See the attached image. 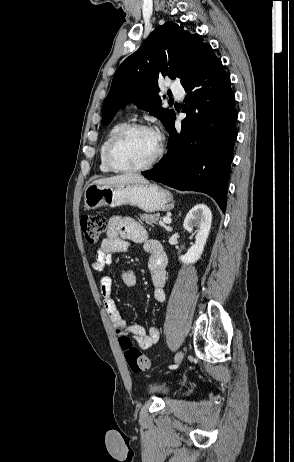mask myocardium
I'll return each mask as SVG.
<instances>
[{"mask_svg":"<svg viewBox=\"0 0 294 462\" xmlns=\"http://www.w3.org/2000/svg\"><path fill=\"white\" fill-rule=\"evenodd\" d=\"M134 130H146L155 133V130L144 123H139V122H131V123H126L122 127H120L114 135L110 138L108 141L106 148H105V153H104V159L107 167L114 171V172H120V173H139V172H144L146 170L151 169L162 157L163 152H164V147L162 143L159 141L158 143V149L155 155L144 165L138 166V167H123L118 165L113 157L114 150L116 145L119 143V141L129 132L134 131Z\"/></svg>","mask_w":294,"mask_h":462,"instance_id":"obj_1","label":"myocardium"}]
</instances>
